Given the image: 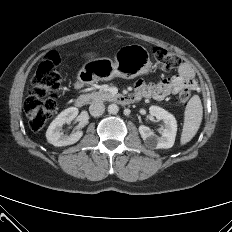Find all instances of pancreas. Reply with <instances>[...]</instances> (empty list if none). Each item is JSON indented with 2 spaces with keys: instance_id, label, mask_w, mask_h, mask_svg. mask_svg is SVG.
I'll use <instances>...</instances> for the list:
<instances>
[{
  "instance_id": "1",
  "label": "pancreas",
  "mask_w": 232,
  "mask_h": 232,
  "mask_svg": "<svg viewBox=\"0 0 232 232\" xmlns=\"http://www.w3.org/2000/svg\"><path fill=\"white\" fill-rule=\"evenodd\" d=\"M87 100L94 103V102H104L110 101L114 99V95H112L107 90H99L97 92H92L85 95Z\"/></svg>"
}]
</instances>
